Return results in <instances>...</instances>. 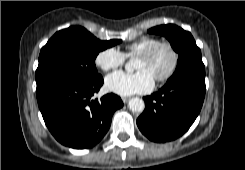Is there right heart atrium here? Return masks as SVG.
I'll return each instance as SVG.
<instances>
[{
    "instance_id": "1",
    "label": "right heart atrium",
    "mask_w": 245,
    "mask_h": 170,
    "mask_svg": "<svg viewBox=\"0 0 245 170\" xmlns=\"http://www.w3.org/2000/svg\"><path fill=\"white\" fill-rule=\"evenodd\" d=\"M126 60L123 52L115 47H107L95 56V65L103 71H110L122 66Z\"/></svg>"
}]
</instances>
